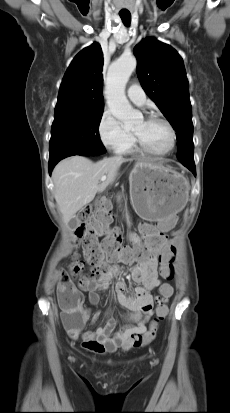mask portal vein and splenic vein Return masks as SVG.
Here are the masks:
<instances>
[{"mask_svg": "<svg viewBox=\"0 0 230 413\" xmlns=\"http://www.w3.org/2000/svg\"><path fill=\"white\" fill-rule=\"evenodd\" d=\"M106 178H107L106 176H102V177H101V181H105Z\"/></svg>", "mask_w": 230, "mask_h": 413, "instance_id": "portal-vein-and-splenic-vein-1", "label": "portal vein and splenic vein"}]
</instances>
